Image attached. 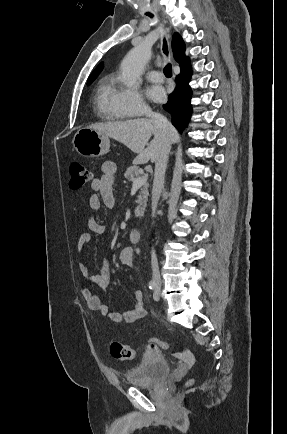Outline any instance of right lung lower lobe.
I'll return each mask as SVG.
<instances>
[{
  "instance_id": "1",
  "label": "right lung lower lobe",
  "mask_w": 287,
  "mask_h": 434,
  "mask_svg": "<svg viewBox=\"0 0 287 434\" xmlns=\"http://www.w3.org/2000/svg\"><path fill=\"white\" fill-rule=\"evenodd\" d=\"M181 72L176 77V88L169 95L168 102L163 108L172 115V124L179 130L183 131L188 125L192 113L190 104L192 90L189 86V80L192 75L190 61L180 66Z\"/></svg>"
}]
</instances>
